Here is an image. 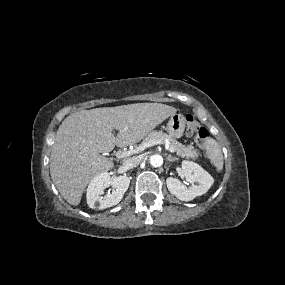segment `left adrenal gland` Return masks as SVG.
<instances>
[{"instance_id": "1", "label": "left adrenal gland", "mask_w": 285, "mask_h": 285, "mask_svg": "<svg viewBox=\"0 0 285 285\" xmlns=\"http://www.w3.org/2000/svg\"><path fill=\"white\" fill-rule=\"evenodd\" d=\"M167 160H168L169 162H172V161L178 160V158H177V157H172L171 155H169V156L167 157Z\"/></svg>"}]
</instances>
